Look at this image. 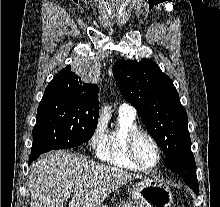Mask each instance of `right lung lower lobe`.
Returning <instances> with one entry per match:
<instances>
[{
	"instance_id": "obj_1",
	"label": "right lung lower lobe",
	"mask_w": 220,
	"mask_h": 207,
	"mask_svg": "<svg viewBox=\"0 0 220 207\" xmlns=\"http://www.w3.org/2000/svg\"><path fill=\"white\" fill-rule=\"evenodd\" d=\"M36 158H37L36 155H30L28 164H30V163H31L32 161H34Z\"/></svg>"
}]
</instances>
